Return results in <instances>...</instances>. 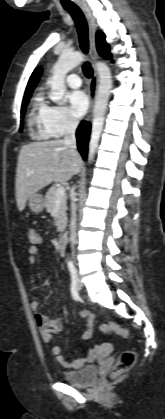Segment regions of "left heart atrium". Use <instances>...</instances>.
<instances>
[{"label":"left heart atrium","mask_w":165,"mask_h":419,"mask_svg":"<svg viewBox=\"0 0 165 419\" xmlns=\"http://www.w3.org/2000/svg\"><path fill=\"white\" fill-rule=\"evenodd\" d=\"M68 102L71 112L76 117H82L88 110L89 101L85 92L75 90L69 93Z\"/></svg>","instance_id":"left-heart-atrium-1"}]
</instances>
